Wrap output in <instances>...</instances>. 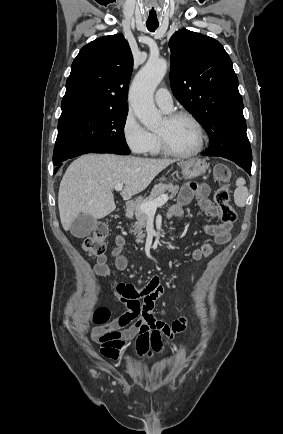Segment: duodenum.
Wrapping results in <instances>:
<instances>
[{"label":"duodenum","mask_w":283,"mask_h":434,"mask_svg":"<svg viewBox=\"0 0 283 434\" xmlns=\"http://www.w3.org/2000/svg\"><path fill=\"white\" fill-rule=\"evenodd\" d=\"M135 203L133 201H128L124 206V214L128 215L134 208Z\"/></svg>","instance_id":"1"}]
</instances>
